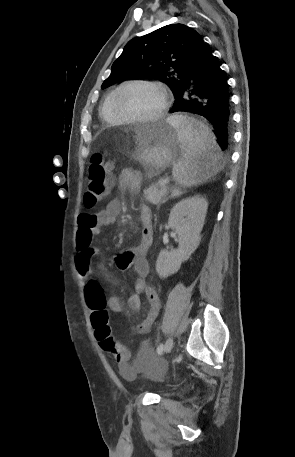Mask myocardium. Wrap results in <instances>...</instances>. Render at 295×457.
I'll return each instance as SVG.
<instances>
[{
	"label": "myocardium",
	"mask_w": 295,
	"mask_h": 457,
	"mask_svg": "<svg viewBox=\"0 0 295 457\" xmlns=\"http://www.w3.org/2000/svg\"><path fill=\"white\" fill-rule=\"evenodd\" d=\"M136 85L154 86V87L158 88L161 91V93L163 95V104H162V107L160 108V110L157 113H155L154 115L148 116V117H134V116H131V115L125 113L121 109L120 104H119V98H120L121 93L126 88H129L131 86H136ZM170 100H171V97H170L169 90L163 83H161L159 81H154V80H132V81H128V82H125V83L121 84L116 89V91L114 93V96H113L112 106H113L114 112L121 119H123L125 122H129V123H149V122L157 121V120L161 119L165 115V113L167 112V110H168V108L170 106Z\"/></svg>",
	"instance_id": "obj_1"
}]
</instances>
